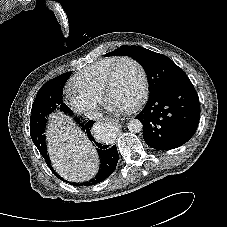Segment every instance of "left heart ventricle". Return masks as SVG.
Segmentation results:
<instances>
[{
  "mask_svg": "<svg viewBox=\"0 0 227 227\" xmlns=\"http://www.w3.org/2000/svg\"><path fill=\"white\" fill-rule=\"evenodd\" d=\"M141 85L138 68L128 61L121 63L109 94L110 104L131 106L141 91Z\"/></svg>",
  "mask_w": 227,
  "mask_h": 227,
  "instance_id": "1",
  "label": "left heart ventricle"
}]
</instances>
